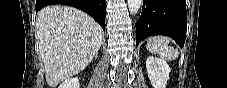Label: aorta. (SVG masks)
<instances>
[{"label": "aorta", "mask_w": 227, "mask_h": 88, "mask_svg": "<svg viewBox=\"0 0 227 88\" xmlns=\"http://www.w3.org/2000/svg\"><path fill=\"white\" fill-rule=\"evenodd\" d=\"M142 5V0H128V8L131 14H137Z\"/></svg>", "instance_id": "obj_1"}]
</instances>
